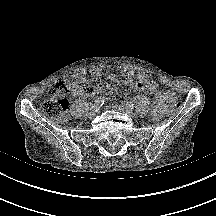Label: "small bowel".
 Returning <instances> with one entry per match:
<instances>
[{
  "instance_id": "small-bowel-1",
  "label": "small bowel",
  "mask_w": 216,
  "mask_h": 216,
  "mask_svg": "<svg viewBox=\"0 0 216 216\" xmlns=\"http://www.w3.org/2000/svg\"><path fill=\"white\" fill-rule=\"evenodd\" d=\"M122 76L127 80L134 90L147 91L155 95V101L152 109V116L158 120L165 112L166 104L169 102V93L158 90L157 83L147 74L139 73L135 75L132 69H124ZM111 81L117 80L114 74H109ZM113 88L106 83H97L91 86H80L72 92L74 96L90 97L103 91H112Z\"/></svg>"
}]
</instances>
